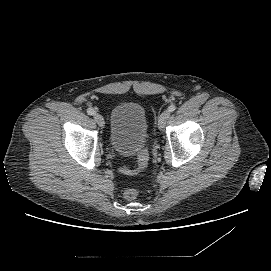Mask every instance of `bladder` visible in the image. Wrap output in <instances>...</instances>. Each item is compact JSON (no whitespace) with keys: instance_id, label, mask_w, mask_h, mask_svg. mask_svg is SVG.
Masks as SVG:
<instances>
[{"instance_id":"31cf9c89","label":"bladder","mask_w":271,"mask_h":271,"mask_svg":"<svg viewBox=\"0 0 271 271\" xmlns=\"http://www.w3.org/2000/svg\"><path fill=\"white\" fill-rule=\"evenodd\" d=\"M148 136V117L141 104L121 102L113 107L110 116V145L114 152L131 156L146 146Z\"/></svg>"}]
</instances>
